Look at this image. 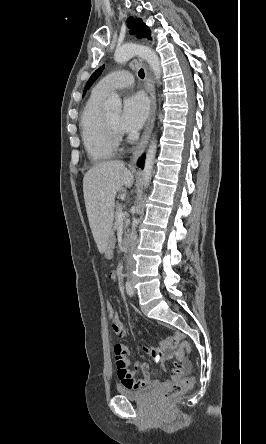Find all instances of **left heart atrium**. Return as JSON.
Here are the masks:
<instances>
[{"instance_id": "left-heart-atrium-1", "label": "left heart atrium", "mask_w": 266, "mask_h": 444, "mask_svg": "<svg viewBox=\"0 0 266 444\" xmlns=\"http://www.w3.org/2000/svg\"><path fill=\"white\" fill-rule=\"evenodd\" d=\"M149 105L143 94L136 93L124 101L123 113L119 120V128L123 132H135L145 123Z\"/></svg>"}]
</instances>
